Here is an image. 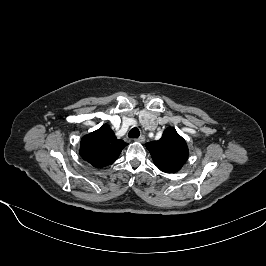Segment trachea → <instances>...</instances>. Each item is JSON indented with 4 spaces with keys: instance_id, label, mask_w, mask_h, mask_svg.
Returning <instances> with one entry per match:
<instances>
[{
    "instance_id": "obj_1",
    "label": "trachea",
    "mask_w": 266,
    "mask_h": 266,
    "mask_svg": "<svg viewBox=\"0 0 266 266\" xmlns=\"http://www.w3.org/2000/svg\"><path fill=\"white\" fill-rule=\"evenodd\" d=\"M128 136H129V138H132V139H134V138H138V137L140 136L139 129L136 128V127L132 128V129L129 131Z\"/></svg>"
}]
</instances>
